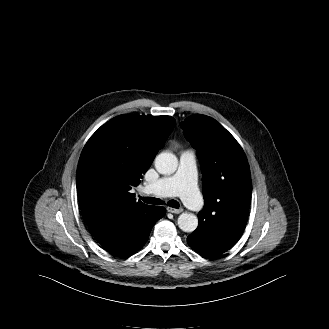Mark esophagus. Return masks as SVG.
Here are the masks:
<instances>
[{
    "label": "esophagus",
    "instance_id": "34e87169",
    "mask_svg": "<svg viewBox=\"0 0 329 329\" xmlns=\"http://www.w3.org/2000/svg\"><path fill=\"white\" fill-rule=\"evenodd\" d=\"M167 211L170 212V213H174V214H179L183 211L182 208H172V207H167Z\"/></svg>",
    "mask_w": 329,
    "mask_h": 329
}]
</instances>
